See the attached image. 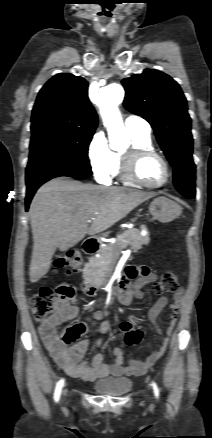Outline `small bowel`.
<instances>
[{"label":"small bowel","instance_id":"1","mask_svg":"<svg viewBox=\"0 0 212 438\" xmlns=\"http://www.w3.org/2000/svg\"><path fill=\"white\" fill-rule=\"evenodd\" d=\"M137 278L134 285L129 284V279ZM157 275L151 271L146 265H129L125 269L124 279L121 281L118 288V300L123 305H128L133 299H144L146 297L142 287L150 282H154ZM183 292L181 289L175 293L173 300L168 301L165 297H159L149 310L148 318L153 328L159 334L169 336L172 333L173 326L177 320V315L181 306ZM170 309V324L164 330L158 325V316L165 307ZM79 316L77 307L70 305L67 302H61L55 318L47 323L39 326V332L45 345L56 361V363L70 376L81 378L84 381H94L108 375L113 376H135L142 375L161 358L165 352L168 340L165 339L160 347L154 350L145 359H131L128 364H125L123 352L119 347L113 348L114 360L111 363L104 362L102 353L94 355L90 362L85 360V355L90 347V342L87 339L80 340L69 346L56 334L55 327L61 323L71 321ZM104 313L101 311L92 314L87 321L96 324L99 323V328L102 331H107L109 325L102 321ZM120 331L123 333L124 341L131 346L138 344L142 337L141 330H133L131 324L123 322L119 325Z\"/></svg>","mask_w":212,"mask_h":438}]
</instances>
